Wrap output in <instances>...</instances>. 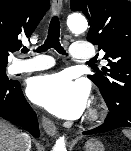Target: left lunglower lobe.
I'll use <instances>...</instances> for the list:
<instances>
[{"label": "left lung lower lobe", "instance_id": "1", "mask_svg": "<svg viewBox=\"0 0 131 151\" xmlns=\"http://www.w3.org/2000/svg\"><path fill=\"white\" fill-rule=\"evenodd\" d=\"M106 102V101H105ZM109 113L104 121V124L83 134H96L104 133L117 128H130L131 127V102L121 101L117 105L109 104L106 102ZM114 107V109H111Z\"/></svg>", "mask_w": 131, "mask_h": 151}]
</instances>
